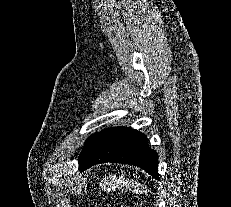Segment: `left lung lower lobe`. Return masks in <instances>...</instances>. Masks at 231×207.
Listing matches in <instances>:
<instances>
[{
    "label": "left lung lower lobe",
    "mask_w": 231,
    "mask_h": 207,
    "mask_svg": "<svg viewBox=\"0 0 231 207\" xmlns=\"http://www.w3.org/2000/svg\"><path fill=\"white\" fill-rule=\"evenodd\" d=\"M103 162L135 165L159 179L156 151L149 148L148 139L143 133L131 128H110L97 133L79 162V170L82 172Z\"/></svg>",
    "instance_id": "left-lung-lower-lobe-1"
}]
</instances>
